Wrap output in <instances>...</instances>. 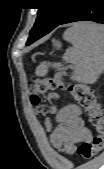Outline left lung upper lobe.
I'll use <instances>...</instances> for the list:
<instances>
[{"label": "left lung upper lobe", "mask_w": 104, "mask_h": 169, "mask_svg": "<svg viewBox=\"0 0 104 169\" xmlns=\"http://www.w3.org/2000/svg\"><path fill=\"white\" fill-rule=\"evenodd\" d=\"M50 5L38 9L36 22L30 31H52L75 8L77 0H45Z\"/></svg>", "instance_id": "1"}]
</instances>
